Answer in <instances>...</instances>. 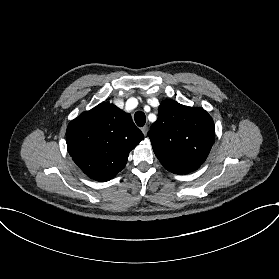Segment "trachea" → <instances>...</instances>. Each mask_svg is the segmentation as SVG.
Returning <instances> with one entry per match:
<instances>
[{
  "mask_svg": "<svg viewBox=\"0 0 279 279\" xmlns=\"http://www.w3.org/2000/svg\"><path fill=\"white\" fill-rule=\"evenodd\" d=\"M134 119H135L136 124H137L139 127L144 126V124L146 123V116H145V114H144L143 112H141V111H138V112L135 113Z\"/></svg>",
  "mask_w": 279,
  "mask_h": 279,
  "instance_id": "1",
  "label": "trachea"
}]
</instances>
